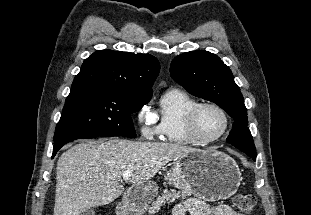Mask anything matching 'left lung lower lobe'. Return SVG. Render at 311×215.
<instances>
[{
    "instance_id": "left-lung-lower-lobe-1",
    "label": "left lung lower lobe",
    "mask_w": 311,
    "mask_h": 215,
    "mask_svg": "<svg viewBox=\"0 0 311 215\" xmlns=\"http://www.w3.org/2000/svg\"><path fill=\"white\" fill-rule=\"evenodd\" d=\"M251 158H253V160H255V159H256V157H251Z\"/></svg>"
}]
</instances>
